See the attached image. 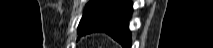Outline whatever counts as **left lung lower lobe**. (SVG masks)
I'll list each match as a JSON object with an SVG mask.
<instances>
[{"label":"left lung lower lobe","mask_w":213,"mask_h":48,"mask_svg":"<svg viewBox=\"0 0 213 48\" xmlns=\"http://www.w3.org/2000/svg\"><path fill=\"white\" fill-rule=\"evenodd\" d=\"M132 14L130 0H117L98 12L82 30L81 35L104 32L119 42L123 48H131L128 20Z\"/></svg>","instance_id":"1"}]
</instances>
